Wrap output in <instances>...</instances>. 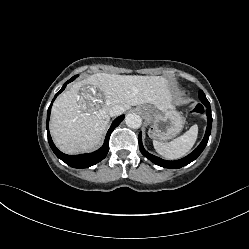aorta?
Returning <instances> with one entry per match:
<instances>
[{
	"label": "aorta",
	"mask_w": 249,
	"mask_h": 249,
	"mask_svg": "<svg viewBox=\"0 0 249 249\" xmlns=\"http://www.w3.org/2000/svg\"><path fill=\"white\" fill-rule=\"evenodd\" d=\"M125 123L128 127L137 129L141 126L142 124V119L140 115L136 113H129L125 117Z\"/></svg>",
	"instance_id": "1"
}]
</instances>
